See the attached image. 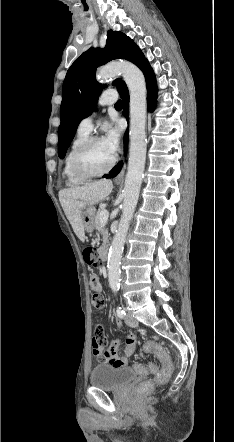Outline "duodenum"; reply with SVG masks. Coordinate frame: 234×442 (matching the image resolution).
<instances>
[{"instance_id":"obj_1","label":"duodenum","mask_w":234,"mask_h":442,"mask_svg":"<svg viewBox=\"0 0 234 442\" xmlns=\"http://www.w3.org/2000/svg\"><path fill=\"white\" fill-rule=\"evenodd\" d=\"M100 256L104 262H106L108 260V257H109V247L108 246H104L100 249Z\"/></svg>"}]
</instances>
